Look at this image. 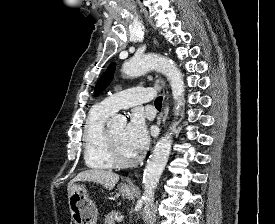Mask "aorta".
Returning <instances> with one entry per match:
<instances>
[{
    "label": "aorta",
    "mask_w": 275,
    "mask_h": 224,
    "mask_svg": "<svg viewBox=\"0 0 275 224\" xmlns=\"http://www.w3.org/2000/svg\"><path fill=\"white\" fill-rule=\"evenodd\" d=\"M150 70L160 71L169 80L173 99L176 102L175 115H178L183 105L184 81L181 72L170 59L157 54H145L131 58L122 67L123 73L129 77H136ZM110 123L125 125L126 118L117 115ZM172 129L173 127H170V130ZM171 135L172 133L165 134L156 143L143 173L144 193L142 200L145 205V221L151 217L154 193L170 155L172 146Z\"/></svg>",
    "instance_id": "aorta-1"
}]
</instances>
